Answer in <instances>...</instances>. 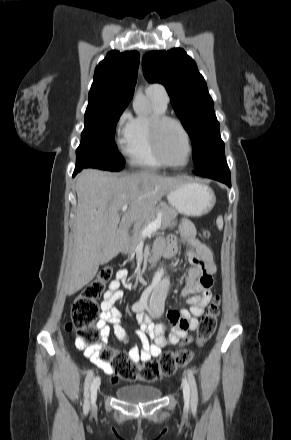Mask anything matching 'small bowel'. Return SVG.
<instances>
[{"mask_svg": "<svg viewBox=\"0 0 291 440\" xmlns=\"http://www.w3.org/2000/svg\"><path fill=\"white\" fill-rule=\"evenodd\" d=\"M181 238L175 234L168 235L167 239H158L155 242V253L167 258L173 257L181 243L189 247V258L193 266L189 269L187 280L182 294L187 297L190 304L189 309L180 311L170 310L169 317L175 316L178 323L174 325L170 333L166 334L165 326L152 324L144 313L148 307V294L146 293L134 306L135 318L140 328L136 334L140 340V345L130 349L128 356L135 363H144L152 358L158 357L162 349L167 346L176 345L188 332H192L198 327V317L202 315L205 305L209 302L211 294L207 289L210 277L217 271L211 250L196 238L194 226L183 221L180 226ZM121 284L127 288L132 285L127 282V272L118 271L116 278L109 284L108 290L104 294L101 303V314L96 327L100 329L102 343L108 342L109 336L113 333L120 341H126V332L120 324V312L114 307V303L121 300L123 292L120 290ZM201 292V295H197ZM183 319L191 321L188 325H183ZM180 323V324H179ZM76 347L83 351L90 360L100 367L106 374L111 376L113 382H117L119 377L114 373L111 365L99 360L98 353L93 348L86 347L81 341L76 340Z\"/></svg>", "mask_w": 291, "mask_h": 440, "instance_id": "c3829d8e", "label": "small bowel"}]
</instances>
